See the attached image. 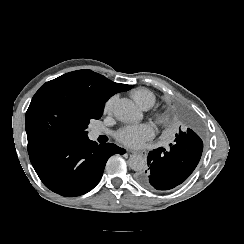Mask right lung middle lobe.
Segmentation results:
<instances>
[{
	"label": "right lung middle lobe",
	"mask_w": 244,
	"mask_h": 244,
	"mask_svg": "<svg viewBox=\"0 0 244 244\" xmlns=\"http://www.w3.org/2000/svg\"><path fill=\"white\" fill-rule=\"evenodd\" d=\"M104 105V101L81 85L49 81L36 92L26 112L27 137H87L90 120L101 117Z\"/></svg>",
	"instance_id": "dd1d6c3e"
}]
</instances>
